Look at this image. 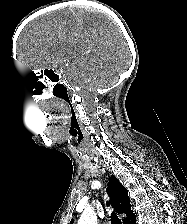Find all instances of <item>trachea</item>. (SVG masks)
I'll list each match as a JSON object with an SVG mask.
<instances>
[{
	"mask_svg": "<svg viewBox=\"0 0 187 224\" xmlns=\"http://www.w3.org/2000/svg\"><path fill=\"white\" fill-rule=\"evenodd\" d=\"M107 205L109 206L108 202H107ZM110 218H111L112 224H121L120 218L117 216V214L114 211L111 213Z\"/></svg>",
	"mask_w": 187,
	"mask_h": 224,
	"instance_id": "trachea-1",
	"label": "trachea"
}]
</instances>
